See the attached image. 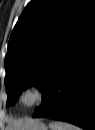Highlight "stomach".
I'll return each mask as SVG.
<instances>
[{
	"mask_svg": "<svg viewBox=\"0 0 95 130\" xmlns=\"http://www.w3.org/2000/svg\"><path fill=\"white\" fill-rule=\"evenodd\" d=\"M16 130H48L47 126L40 120L30 119L26 121L21 128Z\"/></svg>",
	"mask_w": 95,
	"mask_h": 130,
	"instance_id": "stomach-1",
	"label": "stomach"
}]
</instances>
